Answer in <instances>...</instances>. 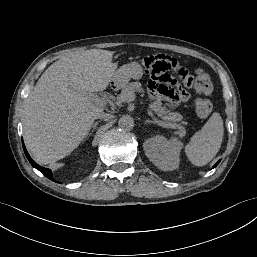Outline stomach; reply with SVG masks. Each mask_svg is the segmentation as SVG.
I'll list each match as a JSON object with an SVG mask.
<instances>
[{
	"label": "stomach",
	"mask_w": 257,
	"mask_h": 257,
	"mask_svg": "<svg viewBox=\"0 0 257 257\" xmlns=\"http://www.w3.org/2000/svg\"><path fill=\"white\" fill-rule=\"evenodd\" d=\"M143 76V68L139 63L132 62L116 70L113 82L118 86L126 85L131 79L139 80Z\"/></svg>",
	"instance_id": "0dacf381"
}]
</instances>
